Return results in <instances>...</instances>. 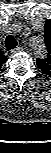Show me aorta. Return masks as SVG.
I'll return each mask as SVG.
<instances>
[{
	"label": "aorta",
	"instance_id": "aorta-1",
	"mask_svg": "<svg viewBox=\"0 0 51 153\" xmlns=\"http://www.w3.org/2000/svg\"><path fill=\"white\" fill-rule=\"evenodd\" d=\"M32 49L37 55H43L45 52L44 40L42 38H36L32 41Z\"/></svg>",
	"mask_w": 51,
	"mask_h": 153
}]
</instances>
